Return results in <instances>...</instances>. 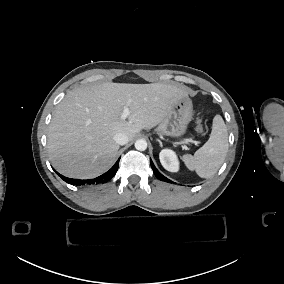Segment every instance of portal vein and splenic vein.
<instances>
[{"mask_svg":"<svg viewBox=\"0 0 284 284\" xmlns=\"http://www.w3.org/2000/svg\"><path fill=\"white\" fill-rule=\"evenodd\" d=\"M131 115V112L128 108L124 109L123 113H122V119H127L129 116Z\"/></svg>","mask_w":284,"mask_h":284,"instance_id":"1","label":"portal vein and splenic vein"}]
</instances>
